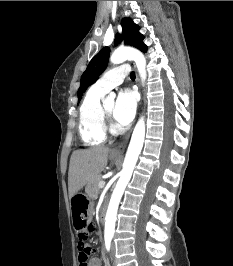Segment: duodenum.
<instances>
[{
	"mask_svg": "<svg viewBox=\"0 0 233 266\" xmlns=\"http://www.w3.org/2000/svg\"><path fill=\"white\" fill-rule=\"evenodd\" d=\"M105 215H106V207L103 206L100 210V215H99V220L101 223H103Z\"/></svg>",
	"mask_w": 233,
	"mask_h": 266,
	"instance_id": "1",
	"label": "duodenum"
}]
</instances>
